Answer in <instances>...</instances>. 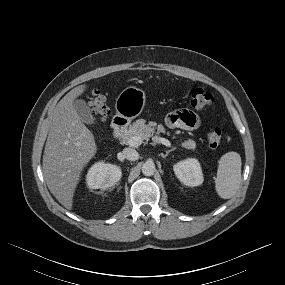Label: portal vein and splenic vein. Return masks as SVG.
<instances>
[{
    "instance_id": "1",
    "label": "portal vein and splenic vein",
    "mask_w": 285,
    "mask_h": 285,
    "mask_svg": "<svg viewBox=\"0 0 285 285\" xmlns=\"http://www.w3.org/2000/svg\"><path fill=\"white\" fill-rule=\"evenodd\" d=\"M154 140L157 142V143H161L167 147H170L171 146V143L169 140L165 139V138H162V137H155ZM143 142V139L140 137V136H132L129 140H128V144L132 147H138L142 144Z\"/></svg>"
}]
</instances>
